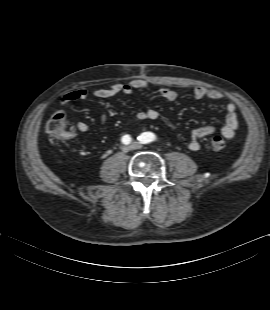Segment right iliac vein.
Wrapping results in <instances>:
<instances>
[{
  "mask_svg": "<svg viewBox=\"0 0 270 310\" xmlns=\"http://www.w3.org/2000/svg\"><path fill=\"white\" fill-rule=\"evenodd\" d=\"M130 150H132V148H131L130 145H125V146L122 147V151H123L124 153H127V152H129Z\"/></svg>",
  "mask_w": 270,
  "mask_h": 310,
  "instance_id": "63e3f726",
  "label": "right iliac vein"
}]
</instances>
